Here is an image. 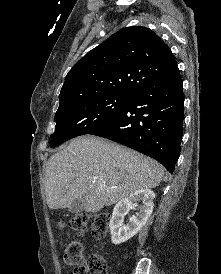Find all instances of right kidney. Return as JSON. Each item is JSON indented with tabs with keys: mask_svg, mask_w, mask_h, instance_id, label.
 <instances>
[{
	"mask_svg": "<svg viewBox=\"0 0 221 274\" xmlns=\"http://www.w3.org/2000/svg\"><path fill=\"white\" fill-rule=\"evenodd\" d=\"M154 198L155 194L153 191L150 189H141L120 200L115 205L109 223L113 244L119 245L126 242L138 233L152 214ZM138 203H141L139 212L130 218L127 225L123 226L124 216L130 209H134Z\"/></svg>",
	"mask_w": 221,
	"mask_h": 274,
	"instance_id": "right-kidney-1",
	"label": "right kidney"
}]
</instances>
